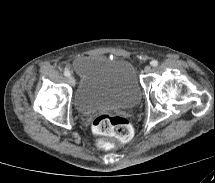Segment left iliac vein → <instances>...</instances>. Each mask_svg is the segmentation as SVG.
Wrapping results in <instances>:
<instances>
[{
    "instance_id": "left-iliac-vein-1",
    "label": "left iliac vein",
    "mask_w": 215,
    "mask_h": 183,
    "mask_svg": "<svg viewBox=\"0 0 215 183\" xmlns=\"http://www.w3.org/2000/svg\"><path fill=\"white\" fill-rule=\"evenodd\" d=\"M144 72H145V73H150V72H151V67H150V66H146V67L144 68Z\"/></svg>"
}]
</instances>
